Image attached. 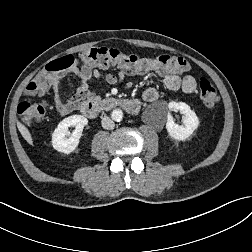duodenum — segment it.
<instances>
[{
    "label": "duodenum",
    "instance_id": "410a0bca",
    "mask_svg": "<svg viewBox=\"0 0 252 252\" xmlns=\"http://www.w3.org/2000/svg\"><path fill=\"white\" fill-rule=\"evenodd\" d=\"M111 107H122L128 113L135 114L139 111L140 101L138 99L107 100L104 102L87 100L81 104L80 110L84 116L94 118Z\"/></svg>",
    "mask_w": 252,
    "mask_h": 252
}]
</instances>
